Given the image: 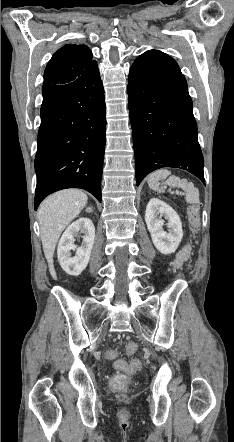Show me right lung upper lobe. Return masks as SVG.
<instances>
[{
  "label": "right lung upper lobe",
  "instance_id": "right-lung-upper-lobe-1",
  "mask_svg": "<svg viewBox=\"0 0 234 442\" xmlns=\"http://www.w3.org/2000/svg\"><path fill=\"white\" fill-rule=\"evenodd\" d=\"M97 65L85 45H65L54 53L44 72L45 84H66Z\"/></svg>",
  "mask_w": 234,
  "mask_h": 442
}]
</instances>
